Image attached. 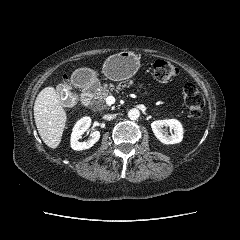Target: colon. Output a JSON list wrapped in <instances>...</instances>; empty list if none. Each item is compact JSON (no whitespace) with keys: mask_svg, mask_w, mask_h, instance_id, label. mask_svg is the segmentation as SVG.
<instances>
[{"mask_svg":"<svg viewBox=\"0 0 240 240\" xmlns=\"http://www.w3.org/2000/svg\"><path fill=\"white\" fill-rule=\"evenodd\" d=\"M178 68L169 61L156 60L153 64V76L156 80L164 82L178 75ZM184 104L192 117L201 116L204 108V98L194 84H186L182 89Z\"/></svg>","mask_w":240,"mask_h":240,"instance_id":"1","label":"colon"}]
</instances>
